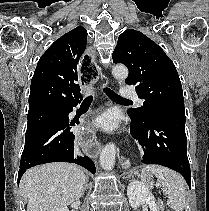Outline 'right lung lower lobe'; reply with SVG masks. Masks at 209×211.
<instances>
[{
	"label": "right lung lower lobe",
	"mask_w": 209,
	"mask_h": 211,
	"mask_svg": "<svg viewBox=\"0 0 209 211\" xmlns=\"http://www.w3.org/2000/svg\"><path fill=\"white\" fill-rule=\"evenodd\" d=\"M78 103L64 108L60 118L25 143L18 172V185L27 169L49 162L75 163L95 174L96 169L93 161L87 156L74 152L75 135L70 130L78 122L69 121L68 115Z\"/></svg>",
	"instance_id": "right-lung-lower-lobe-1"
}]
</instances>
